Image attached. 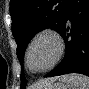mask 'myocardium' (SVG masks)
Returning <instances> with one entry per match:
<instances>
[{"instance_id":"myocardium-1","label":"myocardium","mask_w":89,"mask_h":89,"mask_svg":"<svg viewBox=\"0 0 89 89\" xmlns=\"http://www.w3.org/2000/svg\"><path fill=\"white\" fill-rule=\"evenodd\" d=\"M44 36H50L56 41L57 47H58L57 54H56L55 59L53 60V62L50 65H48L47 67H45L43 69L35 70L30 65V59H29L30 51H31L34 43L39 38L44 37ZM64 52H65V41H64L63 36L54 28H51V27L42 28L32 37V39L30 40V42L28 44L26 54H25L26 65H27L28 69L33 73H42L45 71H49V70L53 69L60 62V60L62 59V57L64 55Z\"/></svg>"}]
</instances>
